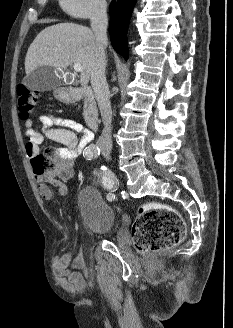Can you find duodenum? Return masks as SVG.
Segmentation results:
<instances>
[{"instance_id": "obj_1", "label": "duodenum", "mask_w": 233, "mask_h": 328, "mask_svg": "<svg viewBox=\"0 0 233 328\" xmlns=\"http://www.w3.org/2000/svg\"><path fill=\"white\" fill-rule=\"evenodd\" d=\"M61 98L69 103L83 100L86 104L84 118L92 130H96L99 124L98 112L95 106V96L93 90L88 86L63 88L60 93Z\"/></svg>"}]
</instances>
